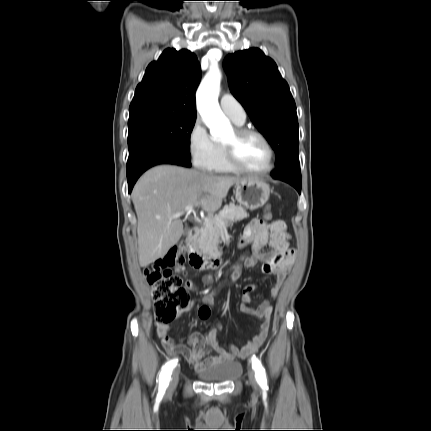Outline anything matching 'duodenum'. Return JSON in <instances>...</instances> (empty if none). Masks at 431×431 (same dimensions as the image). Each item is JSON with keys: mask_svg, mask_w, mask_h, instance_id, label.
<instances>
[{"mask_svg": "<svg viewBox=\"0 0 431 431\" xmlns=\"http://www.w3.org/2000/svg\"><path fill=\"white\" fill-rule=\"evenodd\" d=\"M199 235V228L194 227L191 229L186 239L190 265L197 270L218 268L221 265V260L217 255H206L197 249L196 243Z\"/></svg>", "mask_w": 431, "mask_h": 431, "instance_id": "obj_1", "label": "duodenum"}]
</instances>
